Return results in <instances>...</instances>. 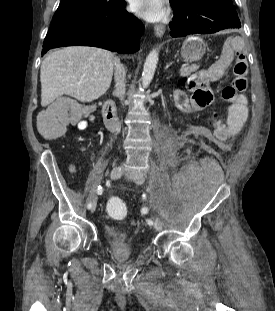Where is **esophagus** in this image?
Instances as JSON below:
<instances>
[{"instance_id":"obj_1","label":"esophagus","mask_w":275,"mask_h":311,"mask_svg":"<svg viewBox=\"0 0 275 311\" xmlns=\"http://www.w3.org/2000/svg\"><path fill=\"white\" fill-rule=\"evenodd\" d=\"M154 32H155V35L157 37H162L164 32H165V26H163V25H156L155 28H154Z\"/></svg>"}]
</instances>
